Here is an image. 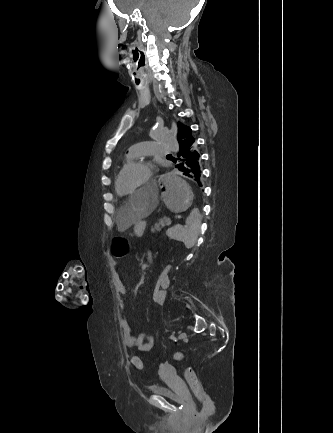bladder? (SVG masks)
<instances>
[{
  "mask_svg": "<svg viewBox=\"0 0 333 433\" xmlns=\"http://www.w3.org/2000/svg\"><path fill=\"white\" fill-rule=\"evenodd\" d=\"M151 390L154 394L167 398L173 402H183L186 399L183 394L177 393L165 385H153Z\"/></svg>",
  "mask_w": 333,
  "mask_h": 433,
  "instance_id": "31cf9c89",
  "label": "bladder"
}]
</instances>
